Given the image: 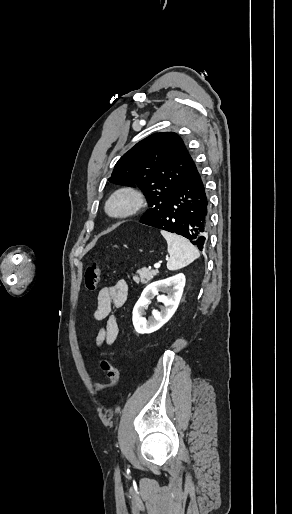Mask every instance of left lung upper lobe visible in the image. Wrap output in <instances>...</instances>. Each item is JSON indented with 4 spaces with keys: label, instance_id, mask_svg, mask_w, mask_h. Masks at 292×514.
I'll return each instance as SVG.
<instances>
[{
    "label": "left lung upper lobe",
    "instance_id": "5c2ea615",
    "mask_svg": "<svg viewBox=\"0 0 292 514\" xmlns=\"http://www.w3.org/2000/svg\"><path fill=\"white\" fill-rule=\"evenodd\" d=\"M193 159L181 137L174 132L155 133L138 142L116 163L109 181L137 186L146 196L149 209L139 222L160 214L187 175Z\"/></svg>",
    "mask_w": 292,
    "mask_h": 514
}]
</instances>
